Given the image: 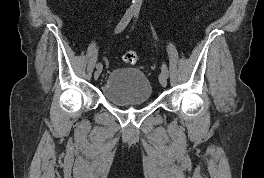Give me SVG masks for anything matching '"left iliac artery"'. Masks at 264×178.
Returning <instances> with one entry per match:
<instances>
[{"instance_id":"44dca946","label":"left iliac artery","mask_w":264,"mask_h":178,"mask_svg":"<svg viewBox=\"0 0 264 178\" xmlns=\"http://www.w3.org/2000/svg\"><path fill=\"white\" fill-rule=\"evenodd\" d=\"M137 16H138V12H135V17L137 18ZM161 71L164 74H166L167 77H168L169 71H168V68H167L166 64H162Z\"/></svg>"}]
</instances>
